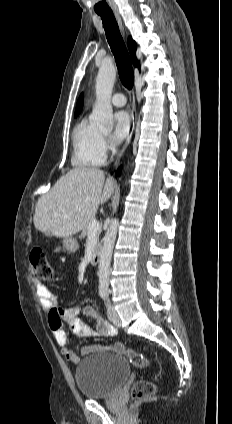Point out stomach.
I'll return each mask as SVG.
<instances>
[{"mask_svg":"<svg viewBox=\"0 0 232 424\" xmlns=\"http://www.w3.org/2000/svg\"><path fill=\"white\" fill-rule=\"evenodd\" d=\"M78 242L77 239L74 237H65L62 242L61 245H59L58 247H56L55 251L56 252H67V253H75L78 250Z\"/></svg>","mask_w":232,"mask_h":424,"instance_id":"1","label":"stomach"}]
</instances>
